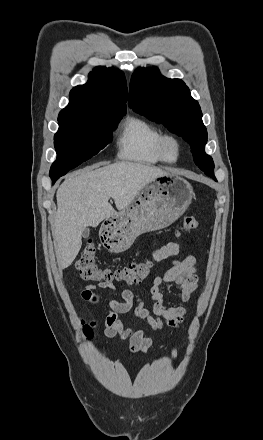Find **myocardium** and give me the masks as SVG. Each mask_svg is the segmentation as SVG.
I'll return each instance as SVG.
<instances>
[{
  "label": "myocardium",
  "mask_w": 263,
  "mask_h": 440,
  "mask_svg": "<svg viewBox=\"0 0 263 440\" xmlns=\"http://www.w3.org/2000/svg\"><path fill=\"white\" fill-rule=\"evenodd\" d=\"M172 142L176 147V155L174 158H169L166 151V145ZM158 151L163 161L174 163L179 160L182 154V141L173 133H162L158 140Z\"/></svg>",
  "instance_id": "1"
}]
</instances>
